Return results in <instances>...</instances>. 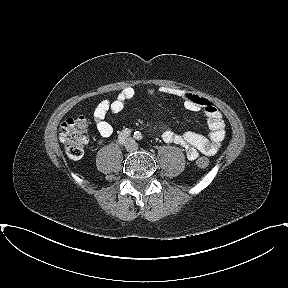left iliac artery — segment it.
I'll list each match as a JSON object with an SVG mask.
<instances>
[{"instance_id": "obj_1", "label": "left iliac artery", "mask_w": 288, "mask_h": 288, "mask_svg": "<svg viewBox=\"0 0 288 288\" xmlns=\"http://www.w3.org/2000/svg\"><path fill=\"white\" fill-rule=\"evenodd\" d=\"M134 138L137 140H142L143 136L139 131L134 132Z\"/></svg>"}]
</instances>
